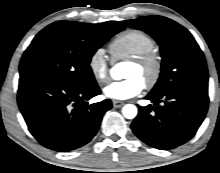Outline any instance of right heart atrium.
<instances>
[{
	"mask_svg": "<svg viewBox=\"0 0 220 173\" xmlns=\"http://www.w3.org/2000/svg\"><path fill=\"white\" fill-rule=\"evenodd\" d=\"M88 67L93 78L99 84H105L109 81V63L102 48H97L91 54L88 60Z\"/></svg>",
	"mask_w": 220,
	"mask_h": 173,
	"instance_id": "d8ad5b80",
	"label": "right heart atrium"
}]
</instances>
